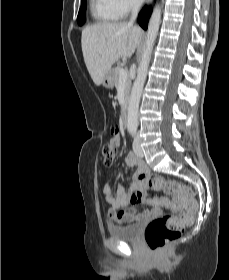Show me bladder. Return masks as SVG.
I'll list each match as a JSON object with an SVG mask.
<instances>
[{"instance_id":"bladder-1","label":"bladder","mask_w":229,"mask_h":280,"mask_svg":"<svg viewBox=\"0 0 229 280\" xmlns=\"http://www.w3.org/2000/svg\"><path fill=\"white\" fill-rule=\"evenodd\" d=\"M143 221L138 220L130 224H122L116 226H109V234L121 241H134L142 231Z\"/></svg>"}]
</instances>
